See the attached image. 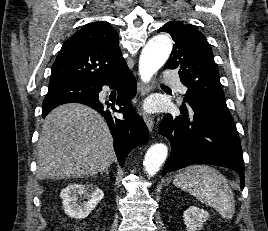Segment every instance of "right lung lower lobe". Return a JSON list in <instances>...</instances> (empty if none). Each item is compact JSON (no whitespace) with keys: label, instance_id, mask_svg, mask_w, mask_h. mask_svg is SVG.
<instances>
[{"label":"right lung lower lobe","instance_id":"obj_1","mask_svg":"<svg viewBox=\"0 0 268 231\" xmlns=\"http://www.w3.org/2000/svg\"><path fill=\"white\" fill-rule=\"evenodd\" d=\"M103 85L117 89L118 97L116 101H99L98 96ZM136 87V80L126 63L105 81L93 86L94 94L92 97L68 101L88 105L105 118L114 139V149L118 161L122 167L128 152L137 146L146 144L149 138L148 129L143 119L134 112L130 105V100L136 93ZM115 104L120 107L119 110L115 108ZM55 107L48 110L43 109V118ZM115 112L123 113L124 119L116 118L114 116Z\"/></svg>","mask_w":268,"mask_h":231}]
</instances>
